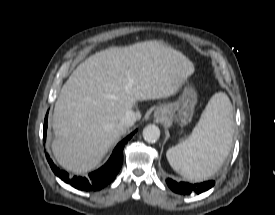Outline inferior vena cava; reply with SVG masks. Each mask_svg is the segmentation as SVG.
<instances>
[{
	"label": "inferior vena cava",
	"instance_id": "obj_1",
	"mask_svg": "<svg viewBox=\"0 0 275 215\" xmlns=\"http://www.w3.org/2000/svg\"><path fill=\"white\" fill-rule=\"evenodd\" d=\"M136 122V115L132 110L126 112L125 116L121 119L120 123L123 126H132Z\"/></svg>",
	"mask_w": 275,
	"mask_h": 215
}]
</instances>
